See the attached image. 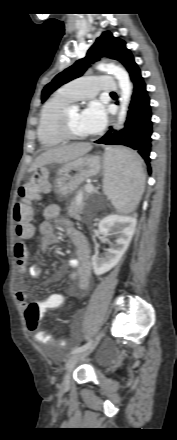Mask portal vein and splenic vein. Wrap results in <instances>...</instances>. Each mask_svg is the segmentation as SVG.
<instances>
[{
    "instance_id": "18ae733b",
    "label": "portal vein and splenic vein",
    "mask_w": 177,
    "mask_h": 440,
    "mask_svg": "<svg viewBox=\"0 0 177 440\" xmlns=\"http://www.w3.org/2000/svg\"><path fill=\"white\" fill-rule=\"evenodd\" d=\"M86 191L91 193L93 191V186L92 185H88L87 188H86Z\"/></svg>"
}]
</instances>
